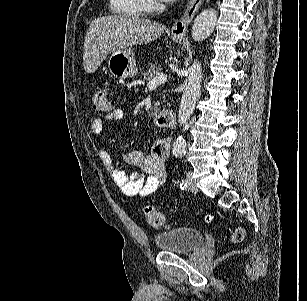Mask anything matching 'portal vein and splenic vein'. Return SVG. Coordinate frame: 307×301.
<instances>
[{
	"mask_svg": "<svg viewBox=\"0 0 307 301\" xmlns=\"http://www.w3.org/2000/svg\"><path fill=\"white\" fill-rule=\"evenodd\" d=\"M167 74L164 72H157L152 80H149L148 86H157V84H161V82H166Z\"/></svg>",
	"mask_w": 307,
	"mask_h": 301,
	"instance_id": "1",
	"label": "portal vein and splenic vein"
}]
</instances>
